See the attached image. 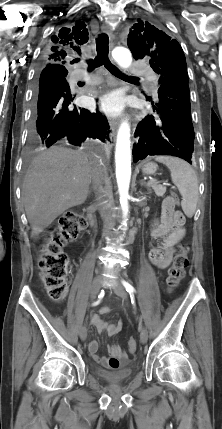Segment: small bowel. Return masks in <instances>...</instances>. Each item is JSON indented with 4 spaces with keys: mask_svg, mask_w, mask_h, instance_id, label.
I'll return each instance as SVG.
<instances>
[{
    "mask_svg": "<svg viewBox=\"0 0 222 429\" xmlns=\"http://www.w3.org/2000/svg\"><path fill=\"white\" fill-rule=\"evenodd\" d=\"M184 225L185 216L182 212L175 210V205L166 199L162 206L160 218L154 219L151 223V236L161 240L149 253V259L154 266L165 269L170 265L175 252V245L185 235ZM108 313L109 308L103 307L99 315L92 317L91 324L99 332H106L108 335L114 336L122 330L123 323L121 320L106 322L103 316ZM88 351L92 359L104 368L118 369L129 361L124 349L115 343L108 345L109 356L98 355V343L94 339L89 342Z\"/></svg>",
    "mask_w": 222,
    "mask_h": 429,
    "instance_id": "small-bowel-1",
    "label": "small bowel"
}]
</instances>
